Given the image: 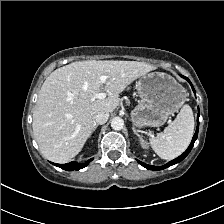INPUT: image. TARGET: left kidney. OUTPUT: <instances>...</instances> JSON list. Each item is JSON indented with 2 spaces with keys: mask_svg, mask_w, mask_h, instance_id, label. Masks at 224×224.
Returning a JSON list of instances; mask_svg holds the SVG:
<instances>
[{
  "mask_svg": "<svg viewBox=\"0 0 224 224\" xmlns=\"http://www.w3.org/2000/svg\"><path fill=\"white\" fill-rule=\"evenodd\" d=\"M140 141H141L142 147L143 148H147V143L144 140H142V139H140Z\"/></svg>",
  "mask_w": 224,
  "mask_h": 224,
  "instance_id": "obj_1",
  "label": "left kidney"
}]
</instances>
